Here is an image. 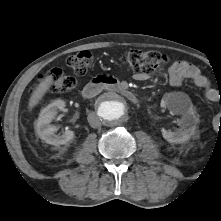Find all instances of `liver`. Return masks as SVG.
Wrapping results in <instances>:
<instances>
[{"label":"liver","instance_id":"obj_1","mask_svg":"<svg viewBox=\"0 0 221 221\" xmlns=\"http://www.w3.org/2000/svg\"><path fill=\"white\" fill-rule=\"evenodd\" d=\"M52 82H53L52 75L47 76L43 81L40 82V84L36 87L35 91L32 93L29 99V104H28L29 109H32L39 103V101L43 98L45 93L50 88Z\"/></svg>","mask_w":221,"mask_h":221}]
</instances>
